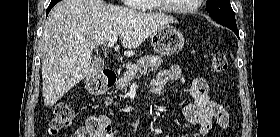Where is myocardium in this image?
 <instances>
[{
  "label": "myocardium",
  "instance_id": "myocardium-1",
  "mask_svg": "<svg viewBox=\"0 0 280 137\" xmlns=\"http://www.w3.org/2000/svg\"><path fill=\"white\" fill-rule=\"evenodd\" d=\"M156 1L159 2V7L161 10L166 11L168 13L177 14V15L189 14V13H192V12L198 10L200 8L201 2H202V0H195V2L192 5L173 8V7H169L165 4H163L162 3L163 0H156Z\"/></svg>",
  "mask_w": 280,
  "mask_h": 137
}]
</instances>
